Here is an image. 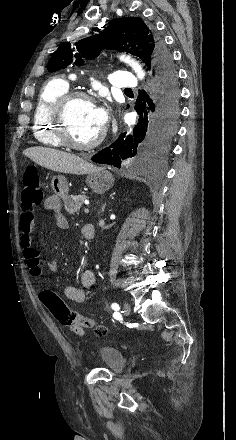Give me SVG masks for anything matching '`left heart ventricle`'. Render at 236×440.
Instances as JSON below:
<instances>
[{"label":"left heart ventricle","instance_id":"obj_1","mask_svg":"<svg viewBox=\"0 0 236 440\" xmlns=\"http://www.w3.org/2000/svg\"><path fill=\"white\" fill-rule=\"evenodd\" d=\"M93 103L76 100L67 113L68 129L71 138L78 143H87L101 132L95 116Z\"/></svg>","mask_w":236,"mask_h":440}]
</instances>
